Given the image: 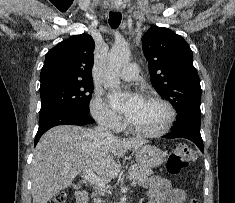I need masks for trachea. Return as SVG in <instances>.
Wrapping results in <instances>:
<instances>
[{
	"mask_svg": "<svg viewBox=\"0 0 235 203\" xmlns=\"http://www.w3.org/2000/svg\"><path fill=\"white\" fill-rule=\"evenodd\" d=\"M122 19V15L119 12H110L109 14V25L111 28L116 29L119 27Z\"/></svg>",
	"mask_w": 235,
	"mask_h": 203,
	"instance_id": "trachea-1",
	"label": "trachea"
}]
</instances>
